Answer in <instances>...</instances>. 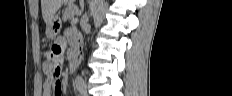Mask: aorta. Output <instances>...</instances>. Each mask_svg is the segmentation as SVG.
<instances>
[{
  "label": "aorta",
  "mask_w": 232,
  "mask_h": 96,
  "mask_svg": "<svg viewBox=\"0 0 232 96\" xmlns=\"http://www.w3.org/2000/svg\"><path fill=\"white\" fill-rule=\"evenodd\" d=\"M99 6H100V1L99 0H94L92 5H91V11H92L93 15L96 13Z\"/></svg>",
  "instance_id": "762f6f07"
}]
</instances>
